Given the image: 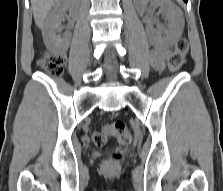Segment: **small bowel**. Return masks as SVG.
Wrapping results in <instances>:
<instances>
[{
    "label": "small bowel",
    "mask_w": 223,
    "mask_h": 191,
    "mask_svg": "<svg viewBox=\"0 0 223 191\" xmlns=\"http://www.w3.org/2000/svg\"><path fill=\"white\" fill-rule=\"evenodd\" d=\"M169 51L165 48H155L151 50L149 62L156 70H163L168 58Z\"/></svg>",
    "instance_id": "c3829d8e"
}]
</instances>
